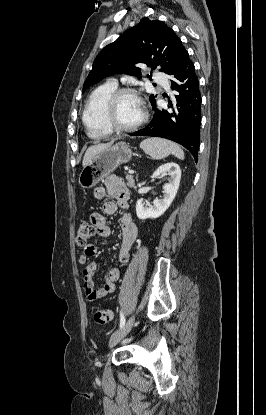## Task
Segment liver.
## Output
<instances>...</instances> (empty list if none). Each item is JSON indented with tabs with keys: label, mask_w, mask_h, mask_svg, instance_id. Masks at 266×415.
<instances>
[{
	"label": "liver",
	"mask_w": 266,
	"mask_h": 415,
	"mask_svg": "<svg viewBox=\"0 0 266 415\" xmlns=\"http://www.w3.org/2000/svg\"><path fill=\"white\" fill-rule=\"evenodd\" d=\"M113 141L109 142V143H100L94 146L89 147L83 157V161H82V165L83 167H85L86 165H88L91 160L102 150L106 149L107 147H109L112 144Z\"/></svg>",
	"instance_id": "obj_1"
}]
</instances>
